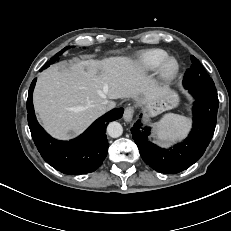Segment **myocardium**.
Listing matches in <instances>:
<instances>
[{
  "label": "myocardium",
  "instance_id": "myocardium-1",
  "mask_svg": "<svg viewBox=\"0 0 231 231\" xmlns=\"http://www.w3.org/2000/svg\"><path fill=\"white\" fill-rule=\"evenodd\" d=\"M173 64V68L169 66ZM181 70L180 62L176 57L167 56L156 70V78L161 86H169L177 79Z\"/></svg>",
  "mask_w": 231,
  "mask_h": 231
}]
</instances>
